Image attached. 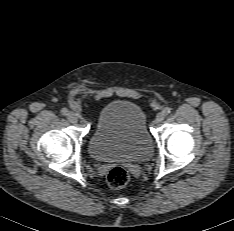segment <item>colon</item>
Returning a JSON list of instances; mask_svg holds the SVG:
<instances>
[{"instance_id":"colon-1","label":"colon","mask_w":234,"mask_h":231,"mask_svg":"<svg viewBox=\"0 0 234 231\" xmlns=\"http://www.w3.org/2000/svg\"><path fill=\"white\" fill-rule=\"evenodd\" d=\"M130 179L129 172L124 167L113 168L107 176V182L110 188L120 189L124 187Z\"/></svg>"}]
</instances>
